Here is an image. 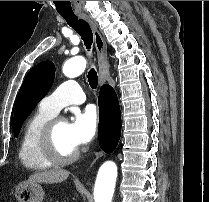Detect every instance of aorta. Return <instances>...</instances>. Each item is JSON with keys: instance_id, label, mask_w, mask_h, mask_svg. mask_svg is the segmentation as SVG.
Listing matches in <instances>:
<instances>
[{"instance_id": "obj_1", "label": "aorta", "mask_w": 209, "mask_h": 202, "mask_svg": "<svg viewBox=\"0 0 209 202\" xmlns=\"http://www.w3.org/2000/svg\"><path fill=\"white\" fill-rule=\"evenodd\" d=\"M86 68L84 57L77 56L67 60L62 68L64 75L74 78L81 75ZM117 178V166L113 161H106L99 168L94 186L95 202H111Z\"/></svg>"}]
</instances>
